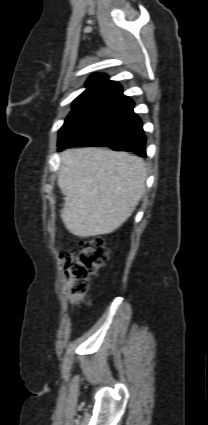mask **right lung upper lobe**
<instances>
[{"label": "right lung upper lobe", "instance_id": "cb5924a9", "mask_svg": "<svg viewBox=\"0 0 208 425\" xmlns=\"http://www.w3.org/2000/svg\"><path fill=\"white\" fill-rule=\"evenodd\" d=\"M113 83L114 81L108 80L105 75L95 74L88 80L86 84L87 89L83 93L99 94L100 92L111 86Z\"/></svg>", "mask_w": 208, "mask_h": 425}]
</instances>
